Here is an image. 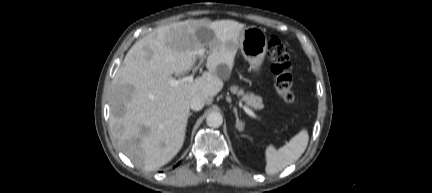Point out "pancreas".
Returning <instances> with one entry per match:
<instances>
[{
    "mask_svg": "<svg viewBox=\"0 0 432 193\" xmlns=\"http://www.w3.org/2000/svg\"><path fill=\"white\" fill-rule=\"evenodd\" d=\"M231 92L237 94V96L241 97V100L244 101L247 106L252 107L255 110H260L264 107L260 96H256L253 93H245L243 90H238L237 86L231 87Z\"/></svg>",
    "mask_w": 432,
    "mask_h": 193,
    "instance_id": "obj_1",
    "label": "pancreas"
}]
</instances>
